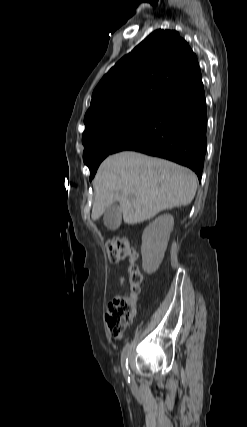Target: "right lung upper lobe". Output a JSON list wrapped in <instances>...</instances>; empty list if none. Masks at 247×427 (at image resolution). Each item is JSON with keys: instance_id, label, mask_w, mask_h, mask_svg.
Returning a JSON list of instances; mask_svg holds the SVG:
<instances>
[{"instance_id": "cb5924a9", "label": "right lung upper lobe", "mask_w": 247, "mask_h": 427, "mask_svg": "<svg viewBox=\"0 0 247 427\" xmlns=\"http://www.w3.org/2000/svg\"><path fill=\"white\" fill-rule=\"evenodd\" d=\"M201 77L197 57L177 31L156 30L104 75L84 123L135 106H158Z\"/></svg>"}]
</instances>
